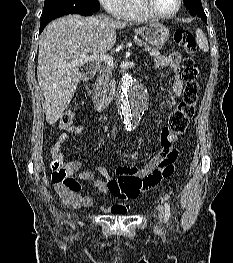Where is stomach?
<instances>
[{
    "label": "stomach",
    "instance_id": "obj_1",
    "mask_svg": "<svg viewBox=\"0 0 233 263\" xmlns=\"http://www.w3.org/2000/svg\"><path fill=\"white\" fill-rule=\"evenodd\" d=\"M135 33L141 36L150 45H163L169 38V30L160 23H150L135 29Z\"/></svg>",
    "mask_w": 233,
    "mask_h": 263
}]
</instances>
